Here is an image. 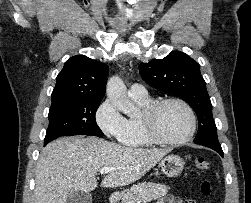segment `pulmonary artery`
Returning a JSON list of instances; mask_svg holds the SVG:
<instances>
[{
	"instance_id": "1",
	"label": "pulmonary artery",
	"mask_w": 251,
	"mask_h": 203,
	"mask_svg": "<svg viewBox=\"0 0 251 203\" xmlns=\"http://www.w3.org/2000/svg\"><path fill=\"white\" fill-rule=\"evenodd\" d=\"M129 96L132 99H147L149 98L146 88L138 83H134L130 86L128 91Z\"/></svg>"
}]
</instances>
